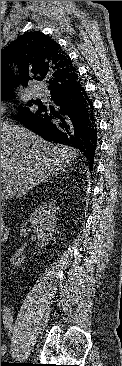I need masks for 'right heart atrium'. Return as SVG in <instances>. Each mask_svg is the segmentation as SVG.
I'll return each mask as SVG.
<instances>
[{
	"instance_id": "obj_1",
	"label": "right heart atrium",
	"mask_w": 122,
	"mask_h": 366,
	"mask_svg": "<svg viewBox=\"0 0 122 366\" xmlns=\"http://www.w3.org/2000/svg\"><path fill=\"white\" fill-rule=\"evenodd\" d=\"M5 110H6V108H5L4 104L1 103V116L5 113Z\"/></svg>"
}]
</instances>
